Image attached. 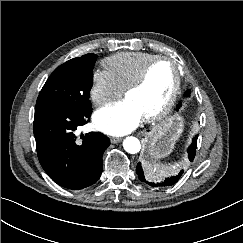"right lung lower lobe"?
Returning <instances> with one entry per match:
<instances>
[{
  "label": "right lung lower lobe",
  "mask_w": 243,
  "mask_h": 243,
  "mask_svg": "<svg viewBox=\"0 0 243 243\" xmlns=\"http://www.w3.org/2000/svg\"><path fill=\"white\" fill-rule=\"evenodd\" d=\"M92 109L77 112L37 105L33 131L37 155L47 175L68 189L94 184L103 170L102 155L110 145L108 137L90 132L77 137V129L90 121Z\"/></svg>",
  "instance_id": "98d812e1"
}]
</instances>
